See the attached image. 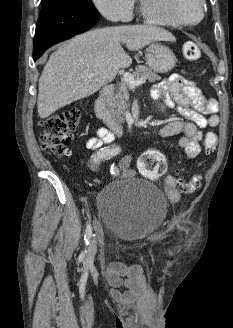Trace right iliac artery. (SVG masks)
Segmentation results:
<instances>
[{
  "label": "right iliac artery",
  "instance_id": "right-iliac-artery-1",
  "mask_svg": "<svg viewBox=\"0 0 233 328\" xmlns=\"http://www.w3.org/2000/svg\"><path fill=\"white\" fill-rule=\"evenodd\" d=\"M119 152H120L119 147H109L103 151L97 152V154L93 159V162L97 164L103 160H108L111 157L117 155ZM91 235H92V227L91 224L88 223L85 229V236H84L86 245L89 244ZM85 254H86V250L79 255V260H83L85 258Z\"/></svg>",
  "mask_w": 233,
  "mask_h": 328
}]
</instances>
